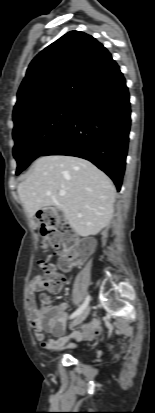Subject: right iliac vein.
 <instances>
[{
  "label": "right iliac vein",
  "mask_w": 155,
  "mask_h": 413,
  "mask_svg": "<svg viewBox=\"0 0 155 413\" xmlns=\"http://www.w3.org/2000/svg\"><path fill=\"white\" fill-rule=\"evenodd\" d=\"M89 312H90V307L88 306L78 316L75 317V319L71 322L70 327L72 328L80 324L81 322H83L89 315Z\"/></svg>",
  "instance_id": "1"
}]
</instances>
